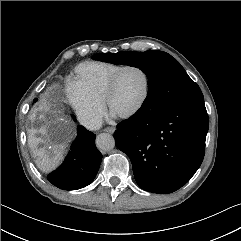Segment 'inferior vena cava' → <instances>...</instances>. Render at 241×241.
Masks as SVG:
<instances>
[{
	"mask_svg": "<svg viewBox=\"0 0 241 241\" xmlns=\"http://www.w3.org/2000/svg\"><path fill=\"white\" fill-rule=\"evenodd\" d=\"M84 125L90 130H98L102 125L101 118H91L84 121Z\"/></svg>",
	"mask_w": 241,
	"mask_h": 241,
	"instance_id": "obj_1",
	"label": "inferior vena cava"
}]
</instances>
